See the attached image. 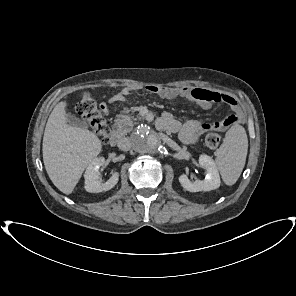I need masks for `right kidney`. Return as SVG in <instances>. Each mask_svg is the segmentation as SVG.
Instances as JSON below:
<instances>
[{"label":"right kidney","instance_id":"obj_1","mask_svg":"<svg viewBox=\"0 0 296 296\" xmlns=\"http://www.w3.org/2000/svg\"><path fill=\"white\" fill-rule=\"evenodd\" d=\"M105 158L97 157L95 158L86 168L84 178H85V190L90 193H99L102 191H108L112 189L119 180V174L115 172L108 181L102 183L100 179L99 168L104 165Z\"/></svg>","mask_w":296,"mask_h":296}]
</instances>
